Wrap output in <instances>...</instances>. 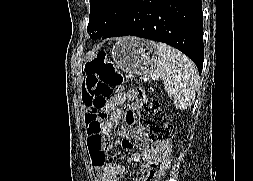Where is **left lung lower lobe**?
I'll list each match as a JSON object with an SVG mask.
<instances>
[{
	"instance_id": "0a47b994",
	"label": "left lung lower lobe",
	"mask_w": 253,
	"mask_h": 181,
	"mask_svg": "<svg viewBox=\"0 0 253 181\" xmlns=\"http://www.w3.org/2000/svg\"><path fill=\"white\" fill-rule=\"evenodd\" d=\"M133 35L169 44L193 60L204 59L201 0H131L101 38Z\"/></svg>"
}]
</instances>
